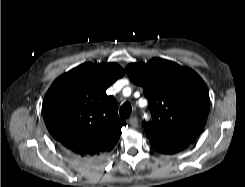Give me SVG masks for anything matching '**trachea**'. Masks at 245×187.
Wrapping results in <instances>:
<instances>
[{
  "mask_svg": "<svg viewBox=\"0 0 245 187\" xmlns=\"http://www.w3.org/2000/svg\"><path fill=\"white\" fill-rule=\"evenodd\" d=\"M131 112H132L131 104L125 102L120 108V117L126 119L131 115Z\"/></svg>",
  "mask_w": 245,
  "mask_h": 187,
  "instance_id": "trachea-1",
  "label": "trachea"
}]
</instances>
